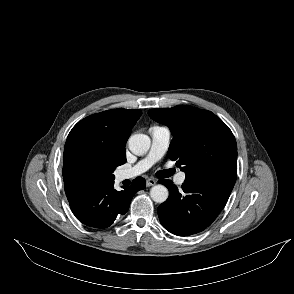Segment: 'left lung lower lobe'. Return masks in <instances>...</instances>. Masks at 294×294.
<instances>
[{
  "instance_id": "1",
  "label": "left lung lower lobe",
  "mask_w": 294,
  "mask_h": 294,
  "mask_svg": "<svg viewBox=\"0 0 294 294\" xmlns=\"http://www.w3.org/2000/svg\"><path fill=\"white\" fill-rule=\"evenodd\" d=\"M169 190V198L158 207L162 226L178 236L203 231L224 208L235 182L226 177L186 180L178 190L171 180H159Z\"/></svg>"
}]
</instances>
